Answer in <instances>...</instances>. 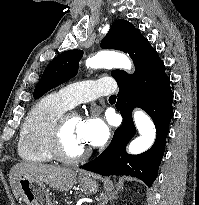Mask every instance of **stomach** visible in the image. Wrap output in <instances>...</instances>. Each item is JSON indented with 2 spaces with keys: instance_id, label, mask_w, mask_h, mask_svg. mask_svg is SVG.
<instances>
[{
  "instance_id": "obj_1",
  "label": "stomach",
  "mask_w": 199,
  "mask_h": 205,
  "mask_svg": "<svg viewBox=\"0 0 199 205\" xmlns=\"http://www.w3.org/2000/svg\"><path fill=\"white\" fill-rule=\"evenodd\" d=\"M104 188L109 190L111 184L108 180H103ZM78 186L86 193H95L98 189L96 177L92 175H80L78 178ZM19 196L26 205H53L49 196V192L45 185L40 181L21 177L18 180Z\"/></svg>"
}]
</instances>
